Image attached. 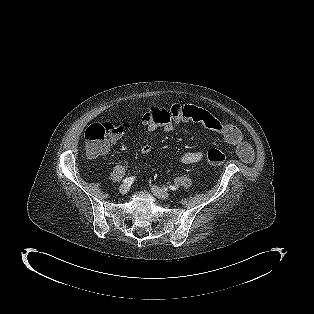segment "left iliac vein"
I'll return each mask as SVG.
<instances>
[{"label":"left iliac vein","mask_w":314,"mask_h":314,"mask_svg":"<svg viewBox=\"0 0 314 314\" xmlns=\"http://www.w3.org/2000/svg\"><path fill=\"white\" fill-rule=\"evenodd\" d=\"M151 190L156 197H158L162 200H167L170 198V194L160 187L152 186Z\"/></svg>","instance_id":"left-iliac-vein-1"}]
</instances>
